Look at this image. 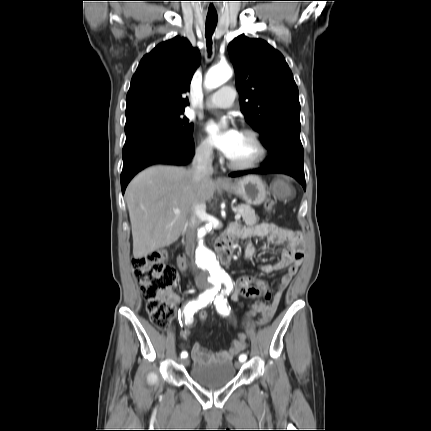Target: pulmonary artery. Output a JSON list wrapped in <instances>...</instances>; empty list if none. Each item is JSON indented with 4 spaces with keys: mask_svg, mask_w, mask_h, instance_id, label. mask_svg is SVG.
Returning a JSON list of instances; mask_svg holds the SVG:
<instances>
[{
    "mask_svg": "<svg viewBox=\"0 0 431 431\" xmlns=\"http://www.w3.org/2000/svg\"><path fill=\"white\" fill-rule=\"evenodd\" d=\"M235 98V88L231 85H224L208 97L204 104V107L209 109L229 108L233 105Z\"/></svg>",
    "mask_w": 431,
    "mask_h": 431,
    "instance_id": "pulmonary-artery-1",
    "label": "pulmonary artery"
}]
</instances>
